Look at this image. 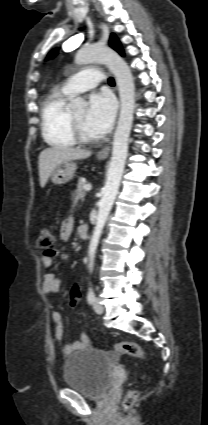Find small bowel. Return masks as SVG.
I'll return each instance as SVG.
<instances>
[{
    "label": "small bowel",
    "mask_w": 208,
    "mask_h": 425,
    "mask_svg": "<svg viewBox=\"0 0 208 425\" xmlns=\"http://www.w3.org/2000/svg\"><path fill=\"white\" fill-rule=\"evenodd\" d=\"M74 228V221L71 218L66 219L61 227L60 236L63 240H68ZM53 254H43L41 261L45 267L50 268L53 265ZM61 280L53 273L47 272L43 279V291L47 294H57L60 291ZM52 321L55 329L56 339L62 343L63 340V319L58 311L52 313ZM89 343L87 335H82L76 342L62 344V352L70 354L75 349L86 346Z\"/></svg>",
    "instance_id": "1"
}]
</instances>
